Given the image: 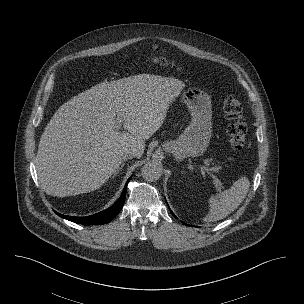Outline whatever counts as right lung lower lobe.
I'll return each mask as SVG.
<instances>
[{
  "label": "right lung lower lobe",
  "instance_id": "98d812e1",
  "mask_svg": "<svg viewBox=\"0 0 304 304\" xmlns=\"http://www.w3.org/2000/svg\"><path fill=\"white\" fill-rule=\"evenodd\" d=\"M131 178L128 179L123 192L120 196V198L108 209L99 212L94 215L86 216V217H75V216H67L57 213L62 218H65L69 221H72L74 223L78 224H85V225H100V224H106L109 223L114 217L118 215L120 210L123 207L125 196H126V190H127V184L130 181Z\"/></svg>",
  "mask_w": 304,
  "mask_h": 304
}]
</instances>
